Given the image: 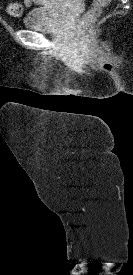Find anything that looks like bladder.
<instances>
[{"mask_svg":"<svg viewBox=\"0 0 133 275\" xmlns=\"http://www.w3.org/2000/svg\"><path fill=\"white\" fill-rule=\"evenodd\" d=\"M63 1L51 0L50 5L34 7L23 19V27L39 32L58 31L63 20L61 4Z\"/></svg>","mask_w":133,"mask_h":275,"instance_id":"31cf9c89","label":"bladder"}]
</instances>
